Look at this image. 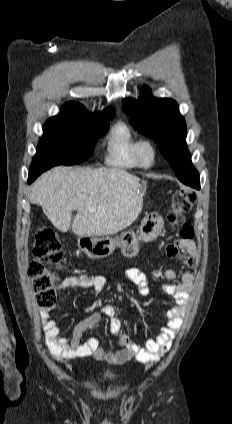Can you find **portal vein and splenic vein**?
Instances as JSON below:
<instances>
[{
    "label": "portal vein and splenic vein",
    "mask_w": 232,
    "mask_h": 424,
    "mask_svg": "<svg viewBox=\"0 0 232 424\" xmlns=\"http://www.w3.org/2000/svg\"><path fill=\"white\" fill-rule=\"evenodd\" d=\"M87 209H88L89 211H92V212L96 210L94 207H88Z\"/></svg>",
    "instance_id": "1"
}]
</instances>
